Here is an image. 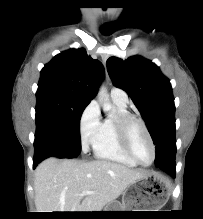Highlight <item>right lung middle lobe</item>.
Wrapping results in <instances>:
<instances>
[{
	"instance_id": "1",
	"label": "right lung middle lobe",
	"mask_w": 203,
	"mask_h": 219,
	"mask_svg": "<svg viewBox=\"0 0 203 219\" xmlns=\"http://www.w3.org/2000/svg\"><path fill=\"white\" fill-rule=\"evenodd\" d=\"M35 155L74 158L81 151L80 118L90 101L53 90L36 93Z\"/></svg>"
}]
</instances>
